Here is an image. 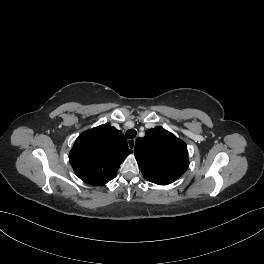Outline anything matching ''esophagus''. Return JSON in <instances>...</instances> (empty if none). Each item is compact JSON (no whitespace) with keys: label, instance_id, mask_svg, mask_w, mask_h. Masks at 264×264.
<instances>
[{"label":"esophagus","instance_id":"esophagus-1","mask_svg":"<svg viewBox=\"0 0 264 264\" xmlns=\"http://www.w3.org/2000/svg\"><path fill=\"white\" fill-rule=\"evenodd\" d=\"M128 146L131 150H134L135 148V139L128 140Z\"/></svg>","mask_w":264,"mask_h":264}]
</instances>
